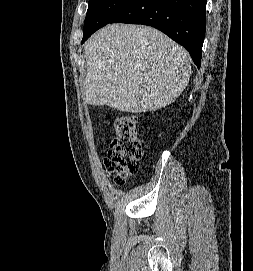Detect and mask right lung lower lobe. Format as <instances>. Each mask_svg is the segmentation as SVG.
Wrapping results in <instances>:
<instances>
[{
    "mask_svg": "<svg viewBox=\"0 0 253 271\" xmlns=\"http://www.w3.org/2000/svg\"><path fill=\"white\" fill-rule=\"evenodd\" d=\"M207 0H132L110 23L155 27L185 47L198 68L206 30ZM90 35L85 36L82 43Z\"/></svg>",
    "mask_w": 253,
    "mask_h": 271,
    "instance_id": "1",
    "label": "right lung lower lobe"
}]
</instances>
